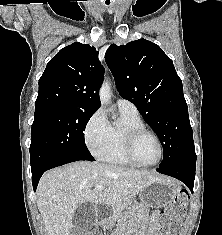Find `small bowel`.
Returning <instances> with one entry per match:
<instances>
[{
  "instance_id": "c3829d8e",
  "label": "small bowel",
  "mask_w": 222,
  "mask_h": 235,
  "mask_svg": "<svg viewBox=\"0 0 222 235\" xmlns=\"http://www.w3.org/2000/svg\"><path fill=\"white\" fill-rule=\"evenodd\" d=\"M158 223L157 215L155 214L149 222L147 235H157ZM114 235H126L123 231H118Z\"/></svg>"
}]
</instances>
